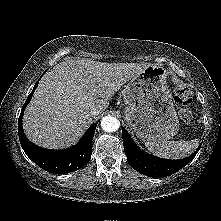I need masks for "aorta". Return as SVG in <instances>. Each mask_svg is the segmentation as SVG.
I'll return each mask as SVG.
<instances>
[{"label":"aorta","mask_w":221,"mask_h":221,"mask_svg":"<svg viewBox=\"0 0 221 221\" xmlns=\"http://www.w3.org/2000/svg\"><path fill=\"white\" fill-rule=\"evenodd\" d=\"M101 127L105 132H115L120 127V122L116 117L111 115L103 117Z\"/></svg>","instance_id":"obj_1"}]
</instances>
